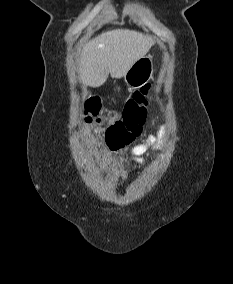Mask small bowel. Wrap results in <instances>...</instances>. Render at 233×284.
I'll list each match as a JSON object with an SVG mask.
<instances>
[{
	"mask_svg": "<svg viewBox=\"0 0 233 284\" xmlns=\"http://www.w3.org/2000/svg\"><path fill=\"white\" fill-rule=\"evenodd\" d=\"M166 130L165 127H161L156 134H151L147 137L146 142L135 145L131 149L132 160L142 164L144 163V154L149 150H158L162 147ZM110 169L116 178L122 176L120 163L114 160L109 161Z\"/></svg>",
	"mask_w": 233,
	"mask_h": 284,
	"instance_id": "1",
	"label": "small bowel"
}]
</instances>
